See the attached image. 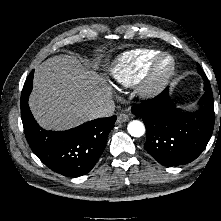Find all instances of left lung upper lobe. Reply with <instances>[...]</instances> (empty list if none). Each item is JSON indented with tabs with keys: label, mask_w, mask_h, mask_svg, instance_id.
<instances>
[{
	"label": "left lung upper lobe",
	"mask_w": 221,
	"mask_h": 221,
	"mask_svg": "<svg viewBox=\"0 0 221 221\" xmlns=\"http://www.w3.org/2000/svg\"><path fill=\"white\" fill-rule=\"evenodd\" d=\"M197 66H198V71H201L202 69L200 68L199 64H197Z\"/></svg>",
	"instance_id": "1"
}]
</instances>
